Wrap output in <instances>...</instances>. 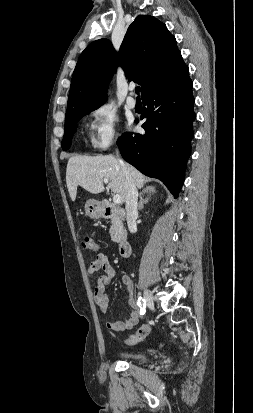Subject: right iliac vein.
Instances as JSON below:
<instances>
[{
  "instance_id": "63e3f726",
  "label": "right iliac vein",
  "mask_w": 253,
  "mask_h": 413,
  "mask_svg": "<svg viewBox=\"0 0 253 413\" xmlns=\"http://www.w3.org/2000/svg\"><path fill=\"white\" fill-rule=\"evenodd\" d=\"M144 298L147 303V306L150 309H154V299H153L151 292L148 289L144 290Z\"/></svg>"
}]
</instances>
